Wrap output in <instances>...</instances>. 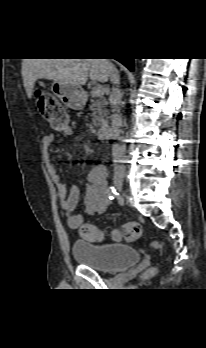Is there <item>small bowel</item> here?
Here are the masks:
<instances>
[{"label": "small bowel", "mask_w": 206, "mask_h": 348, "mask_svg": "<svg viewBox=\"0 0 206 348\" xmlns=\"http://www.w3.org/2000/svg\"><path fill=\"white\" fill-rule=\"evenodd\" d=\"M54 141V135L47 133L42 138V144L47 150ZM52 181L56 185L60 206L64 211V216L70 228L76 229L83 225L84 216H97L102 214L110 205L107 193L106 173L102 166H94L88 173L87 186L84 196V214L74 213V209L79 199V189L73 185L70 188L62 181V178L52 164L47 166Z\"/></svg>", "instance_id": "small-bowel-1"}]
</instances>
